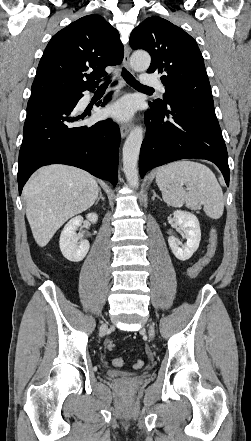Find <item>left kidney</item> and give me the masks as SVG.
Segmentation results:
<instances>
[{
  "label": "left kidney",
  "instance_id": "left-kidney-1",
  "mask_svg": "<svg viewBox=\"0 0 251 441\" xmlns=\"http://www.w3.org/2000/svg\"><path fill=\"white\" fill-rule=\"evenodd\" d=\"M176 224L183 231L187 240L184 247H180L174 236L168 238L169 246L175 257L181 261L191 258L199 247L201 240L200 224L197 217L188 211L176 210L173 212Z\"/></svg>",
  "mask_w": 251,
  "mask_h": 441
}]
</instances>
